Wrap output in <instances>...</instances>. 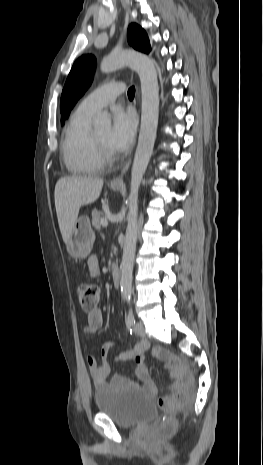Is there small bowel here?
I'll list each match as a JSON object with an SVG mask.
<instances>
[{
	"label": "small bowel",
	"instance_id": "1",
	"mask_svg": "<svg viewBox=\"0 0 263 465\" xmlns=\"http://www.w3.org/2000/svg\"><path fill=\"white\" fill-rule=\"evenodd\" d=\"M87 266L90 274L95 276L99 271V260L97 256H91L87 261ZM103 324V314L101 309L96 308L94 311L87 314V324L83 328V333L85 335L95 334ZM114 344V341L106 342L101 348V362L99 363L96 358L92 355H88L86 358V363L93 380L94 386L96 389H102L107 385L115 387H142L144 390L151 394L157 393V388L151 377L149 371L143 361V353L147 349L146 342H138L131 350L120 353L117 357V361H135V374L138 379L143 383L140 385L127 377L122 375H114L109 381V376L111 373V367L108 362V353L111 346Z\"/></svg>",
	"mask_w": 263,
	"mask_h": 465
}]
</instances>
